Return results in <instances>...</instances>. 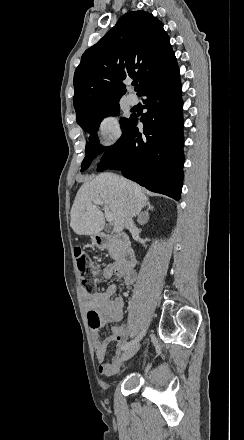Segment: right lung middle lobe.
I'll return each instance as SVG.
<instances>
[{"label":"right lung middle lobe","mask_w":244,"mask_h":440,"mask_svg":"<svg viewBox=\"0 0 244 440\" xmlns=\"http://www.w3.org/2000/svg\"><path fill=\"white\" fill-rule=\"evenodd\" d=\"M118 113L119 99L107 100L91 108L76 110L77 123L90 134L91 139V142L86 145V155L81 164V171L86 170L90 166L92 160L100 153V151L106 152L111 148H104L99 145L96 132L98 131V127L104 117ZM127 122L128 119H121L122 129H124Z\"/></svg>","instance_id":"right-lung-middle-lobe-1"}]
</instances>
